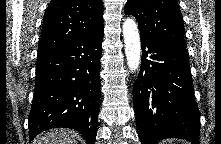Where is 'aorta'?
I'll return each mask as SVG.
<instances>
[{
    "mask_svg": "<svg viewBox=\"0 0 221 144\" xmlns=\"http://www.w3.org/2000/svg\"><path fill=\"white\" fill-rule=\"evenodd\" d=\"M123 36L125 42V53L127 65L133 72L136 71L140 64V36L136 23L133 19H126L123 23Z\"/></svg>",
    "mask_w": 221,
    "mask_h": 144,
    "instance_id": "762f6f07",
    "label": "aorta"
}]
</instances>
